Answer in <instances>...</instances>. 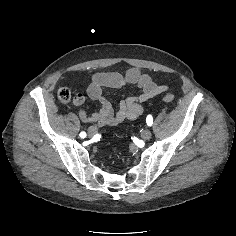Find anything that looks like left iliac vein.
Returning a JSON list of instances; mask_svg holds the SVG:
<instances>
[{
    "mask_svg": "<svg viewBox=\"0 0 236 236\" xmlns=\"http://www.w3.org/2000/svg\"><path fill=\"white\" fill-rule=\"evenodd\" d=\"M151 136H152V133L149 130H143L141 132V137L144 140H149L151 138Z\"/></svg>",
    "mask_w": 236,
    "mask_h": 236,
    "instance_id": "obj_1",
    "label": "left iliac vein"
}]
</instances>
